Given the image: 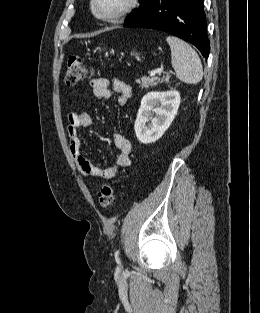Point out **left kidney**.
Here are the masks:
<instances>
[{
    "mask_svg": "<svg viewBox=\"0 0 260 313\" xmlns=\"http://www.w3.org/2000/svg\"><path fill=\"white\" fill-rule=\"evenodd\" d=\"M179 105L178 91L147 93L141 100L134 125L137 139L143 144L160 139L174 120Z\"/></svg>",
    "mask_w": 260,
    "mask_h": 313,
    "instance_id": "left-kidney-1",
    "label": "left kidney"
}]
</instances>
